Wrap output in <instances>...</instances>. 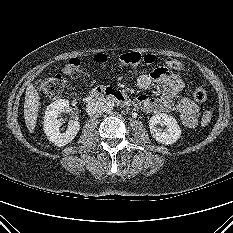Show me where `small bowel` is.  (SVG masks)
<instances>
[{
  "mask_svg": "<svg viewBox=\"0 0 233 233\" xmlns=\"http://www.w3.org/2000/svg\"><path fill=\"white\" fill-rule=\"evenodd\" d=\"M138 86L148 89L153 84H159L162 88L160 97H150L145 94L135 99V105L147 113H178L183 125L194 128L197 125L198 104L190 98L177 99L184 88L183 80L165 67H158L150 74H143L138 78Z\"/></svg>",
  "mask_w": 233,
  "mask_h": 233,
  "instance_id": "obj_1",
  "label": "small bowel"
}]
</instances>
